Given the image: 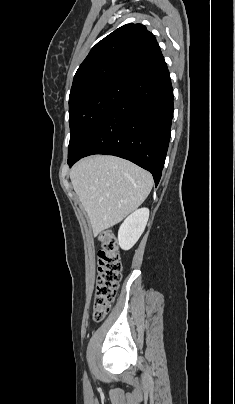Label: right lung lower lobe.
I'll list each match as a JSON object with an SVG mask.
<instances>
[{
	"label": "right lung lower lobe",
	"mask_w": 235,
	"mask_h": 404,
	"mask_svg": "<svg viewBox=\"0 0 235 404\" xmlns=\"http://www.w3.org/2000/svg\"><path fill=\"white\" fill-rule=\"evenodd\" d=\"M173 89L166 63L126 83L115 103L68 156L114 155L150 171L157 186L170 140Z\"/></svg>",
	"instance_id": "obj_1"
}]
</instances>
